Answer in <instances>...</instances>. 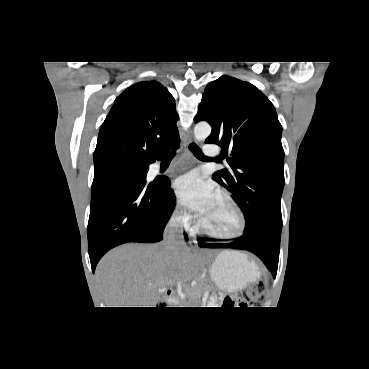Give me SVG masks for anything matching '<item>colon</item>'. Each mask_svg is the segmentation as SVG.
I'll list each match as a JSON object with an SVG mask.
<instances>
[{"label":"colon","instance_id":"1","mask_svg":"<svg viewBox=\"0 0 369 369\" xmlns=\"http://www.w3.org/2000/svg\"><path fill=\"white\" fill-rule=\"evenodd\" d=\"M264 286L262 283H257L242 291L239 295H225L219 298L223 307H248L258 305L263 299Z\"/></svg>","mask_w":369,"mask_h":369}]
</instances>
